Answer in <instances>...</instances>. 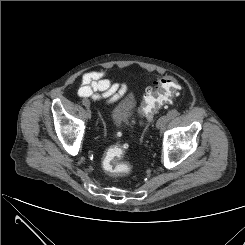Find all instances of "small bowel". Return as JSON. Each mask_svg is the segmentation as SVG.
Returning <instances> with one entry per match:
<instances>
[{
	"instance_id": "small-bowel-1",
	"label": "small bowel",
	"mask_w": 245,
	"mask_h": 245,
	"mask_svg": "<svg viewBox=\"0 0 245 245\" xmlns=\"http://www.w3.org/2000/svg\"><path fill=\"white\" fill-rule=\"evenodd\" d=\"M127 91L125 84L111 83L104 71H91L85 73L81 78L78 95L83 98L105 100L114 103Z\"/></svg>"
}]
</instances>
